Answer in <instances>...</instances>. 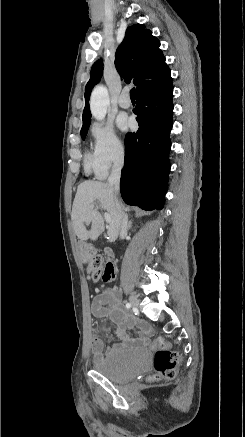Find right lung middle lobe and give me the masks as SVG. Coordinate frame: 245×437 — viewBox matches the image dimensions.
<instances>
[{
	"mask_svg": "<svg viewBox=\"0 0 245 437\" xmlns=\"http://www.w3.org/2000/svg\"><path fill=\"white\" fill-rule=\"evenodd\" d=\"M88 128H89V125H86V126H83L82 129H81V137H82L83 140L85 139V136L87 134Z\"/></svg>",
	"mask_w": 245,
	"mask_h": 437,
	"instance_id": "1",
	"label": "right lung middle lobe"
}]
</instances>
